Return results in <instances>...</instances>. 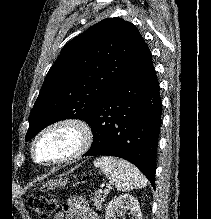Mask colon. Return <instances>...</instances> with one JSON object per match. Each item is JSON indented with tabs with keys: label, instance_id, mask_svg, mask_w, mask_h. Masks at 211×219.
I'll use <instances>...</instances> for the list:
<instances>
[{
	"label": "colon",
	"instance_id": "obj_1",
	"mask_svg": "<svg viewBox=\"0 0 211 219\" xmlns=\"http://www.w3.org/2000/svg\"><path fill=\"white\" fill-rule=\"evenodd\" d=\"M29 205L40 219H49L58 208L55 198L43 195L33 196Z\"/></svg>",
	"mask_w": 211,
	"mask_h": 219
}]
</instances>
